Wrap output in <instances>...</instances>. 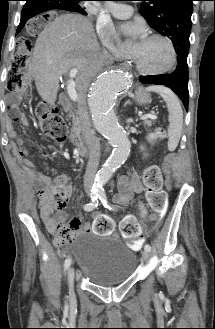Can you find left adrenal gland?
Listing matches in <instances>:
<instances>
[{
	"label": "left adrenal gland",
	"instance_id": "a2214340",
	"mask_svg": "<svg viewBox=\"0 0 215 329\" xmlns=\"http://www.w3.org/2000/svg\"><path fill=\"white\" fill-rule=\"evenodd\" d=\"M131 101L128 99L125 103H124V107H126L127 105H131Z\"/></svg>",
	"mask_w": 215,
	"mask_h": 329
}]
</instances>
